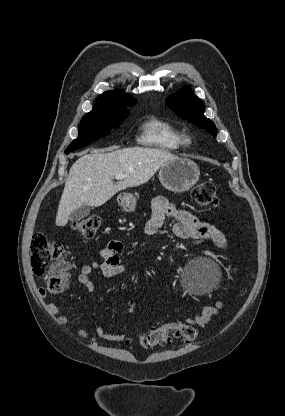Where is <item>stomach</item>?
<instances>
[{
    "label": "stomach",
    "mask_w": 285,
    "mask_h": 416,
    "mask_svg": "<svg viewBox=\"0 0 285 416\" xmlns=\"http://www.w3.org/2000/svg\"><path fill=\"white\" fill-rule=\"evenodd\" d=\"M200 170L192 160L187 158H178V160H170L164 166H161L159 172V180L170 192H186L190 190L196 182H198ZM119 204L124 208L125 212H134L136 208V200L130 194H122L119 196Z\"/></svg>",
    "instance_id": "stomach-1"
}]
</instances>
